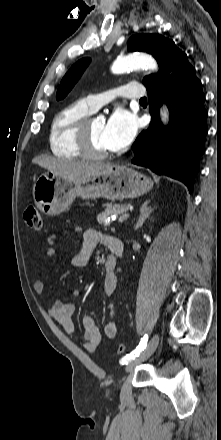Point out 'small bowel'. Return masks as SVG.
<instances>
[{"label": "small bowel", "mask_w": 221, "mask_h": 440, "mask_svg": "<svg viewBox=\"0 0 221 440\" xmlns=\"http://www.w3.org/2000/svg\"><path fill=\"white\" fill-rule=\"evenodd\" d=\"M80 231L79 228H65L60 233H52L48 237V243L56 244L59 239L73 235ZM113 238L109 236H103L94 229H88L83 231L82 242L79 252L72 257V265L77 268L86 267L90 259L91 254L99 243H103L106 247ZM56 252L54 248H48L43 256V261L47 262L55 256ZM113 260L112 256H108L106 261ZM106 263V262H105ZM36 293H43L45 290V284L42 280H37L33 284ZM117 287V277L114 272H107L103 280V293L107 297H111ZM80 295L79 290H73V296ZM76 306L74 302H64L61 300H55L51 303L48 313L49 315L63 328V330L73 335L75 333V326L72 320V316L75 312ZM115 306L113 303L109 304V319L105 324L103 334L97 327L94 318L91 315H85L82 318L83 326V340L82 344L88 351H95L103 341V335L111 340L115 338L117 334V324L115 321Z\"/></svg>", "instance_id": "c3829d8e"}]
</instances>
